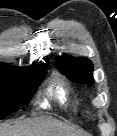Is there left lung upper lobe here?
<instances>
[{
	"mask_svg": "<svg viewBox=\"0 0 117 136\" xmlns=\"http://www.w3.org/2000/svg\"><path fill=\"white\" fill-rule=\"evenodd\" d=\"M56 67L74 82L88 85L94 83L93 64L87 58L63 55L57 59Z\"/></svg>",
	"mask_w": 117,
	"mask_h": 136,
	"instance_id": "obj_1",
	"label": "left lung upper lobe"
}]
</instances>
